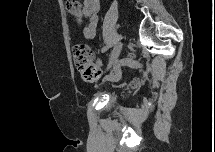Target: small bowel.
Returning a JSON list of instances; mask_svg holds the SVG:
<instances>
[{
    "instance_id": "c3829d8e",
    "label": "small bowel",
    "mask_w": 215,
    "mask_h": 152,
    "mask_svg": "<svg viewBox=\"0 0 215 152\" xmlns=\"http://www.w3.org/2000/svg\"><path fill=\"white\" fill-rule=\"evenodd\" d=\"M99 3L96 0H85L83 6V13L86 17L89 18L88 24L83 28V36L87 40H91L96 35V30L99 21ZM128 64L127 61L115 67L114 74L109 75L107 80L111 81H119L122 76V66ZM98 66L101 69L103 64L101 61H98ZM100 74V73H99ZM97 78V77H96ZM96 78L88 81H94ZM139 86V79L137 77H133L126 84L128 90H134Z\"/></svg>"
}]
</instances>
